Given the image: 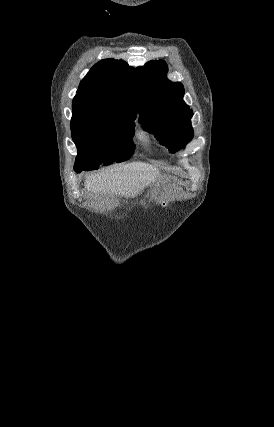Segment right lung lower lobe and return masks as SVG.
Wrapping results in <instances>:
<instances>
[{"label": "right lung lower lobe", "mask_w": 274, "mask_h": 427, "mask_svg": "<svg viewBox=\"0 0 274 427\" xmlns=\"http://www.w3.org/2000/svg\"><path fill=\"white\" fill-rule=\"evenodd\" d=\"M74 170L75 171H77V172H81V171H88V170H90V169H87V168H79V167H74Z\"/></svg>", "instance_id": "right-lung-lower-lobe-1"}]
</instances>
